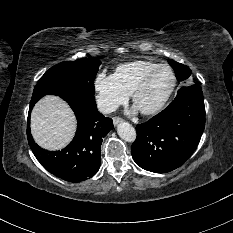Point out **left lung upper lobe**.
Segmentation results:
<instances>
[{
	"instance_id": "1",
	"label": "left lung upper lobe",
	"mask_w": 233,
	"mask_h": 233,
	"mask_svg": "<svg viewBox=\"0 0 233 233\" xmlns=\"http://www.w3.org/2000/svg\"><path fill=\"white\" fill-rule=\"evenodd\" d=\"M169 64L172 66V68L174 69L175 71V74H176V78L178 81H184V80H187L191 74V70L189 67L183 65V64H180L176 61H173V60H168ZM188 87H182L178 93H177V96L181 93H183Z\"/></svg>"
}]
</instances>
